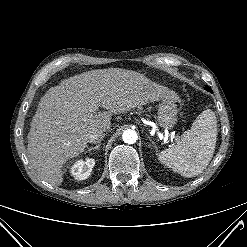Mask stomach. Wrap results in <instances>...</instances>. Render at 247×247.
Instances as JSON below:
<instances>
[{
    "instance_id": "0dacf381",
    "label": "stomach",
    "mask_w": 247,
    "mask_h": 247,
    "mask_svg": "<svg viewBox=\"0 0 247 247\" xmlns=\"http://www.w3.org/2000/svg\"><path fill=\"white\" fill-rule=\"evenodd\" d=\"M177 106L174 100L164 99L158 108L157 121L165 129H171L177 123Z\"/></svg>"
}]
</instances>
